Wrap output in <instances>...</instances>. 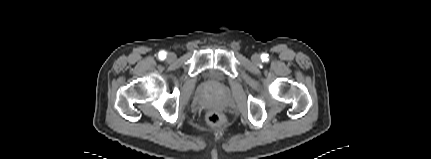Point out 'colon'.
Instances as JSON below:
<instances>
[{
    "label": "colon",
    "mask_w": 431,
    "mask_h": 159,
    "mask_svg": "<svg viewBox=\"0 0 431 159\" xmlns=\"http://www.w3.org/2000/svg\"><path fill=\"white\" fill-rule=\"evenodd\" d=\"M206 120L209 125L217 127L223 124L224 118L219 112L210 111L206 115Z\"/></svg>",
    "instance_id": "obj_1"
}]
</instances>
